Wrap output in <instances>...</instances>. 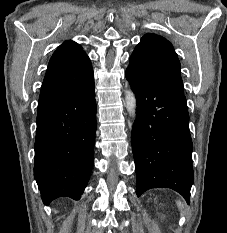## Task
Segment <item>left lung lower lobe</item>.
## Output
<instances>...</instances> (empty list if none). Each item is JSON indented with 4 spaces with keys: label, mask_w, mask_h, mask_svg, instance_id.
<instances>
[{
    "label": "left lung lower lobe",
    "mask_w": 227,
    "mask_h": 233,
    "mask_svg": "<svg viewBox=\"0 0 227 233\" xmlns=\"http://www.w3.org/2000/svg\"><path fill=\"white\" fill-rule=\"evenodd\" d=\"M125 76L137 98L131 134L137 195L164 187L177 191L189 203L193 144L185 95L129 70Z\"/></svg>",
    "instance_id": "0a47b994"
}]
</instances>
